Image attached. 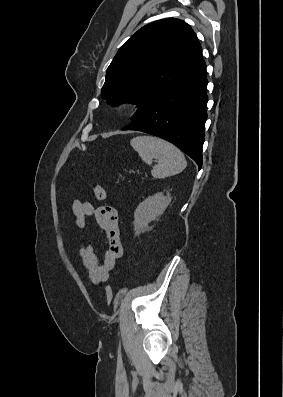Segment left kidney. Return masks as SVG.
Returning <instances> with one entry per match:
<instances>
[{
	"mask_svg": "<svg viewBox=\"0 0 283 397\" xmlns=\"http://www.w3.org/2000/svg\"><path fill=\"white\" fill-rule=\"evenodd\" d=\"M171 196L168 193L164 196L157 193L149 196L146 200L138 205L134 212V230L135 234L144 233L148 224L161 215L171 202Z\"/></svg>",
	"mask_w": 283,
	"mask_h": 397,
	"instance_id": "5707ae66",
	"label": "left kidney"
}]
</instances>
